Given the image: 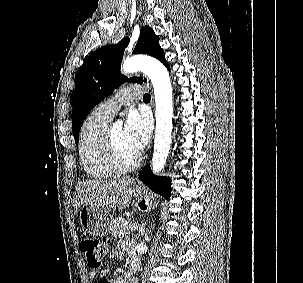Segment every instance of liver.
I'll return each instance as SVG.
<instances>
[{"label":"liver","mask_w":303,"mask_h":283,"mask_svg":"<svg viewBox=\"0 0 303 283\" xmlns=\"http://www.w3.org/2000/svg\"><path fill=\"white\" fill-rule=\"evenodd\" d=\"M133 178L113 180H83L78 183L74 193V208L85 204L105 207L113 210L126 209L134 188Z\"/></svg>","instance_id":"liver-1"}]
</instances>
